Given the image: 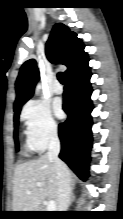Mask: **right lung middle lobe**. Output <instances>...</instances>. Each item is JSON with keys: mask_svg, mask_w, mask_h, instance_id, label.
I'll return each mask as SVG.
<instances>
[{"mask_svg": "<svg viewBox=\"0 0 123 219\" xmlns=\"http://www.w3.org/2000/svg\"><path fill=\"white\" fill-rule=\"evenodd\" d=\"M19 114H20V110L16 111L14 114V140H15L17 150L19 149L18 138H17V131H18L17 127H18Z\"/></svg>", "mask_w": 123, "mask_h": 219, "instance_id": "1", "label": "right lung middle lobe"}]
</instances>
